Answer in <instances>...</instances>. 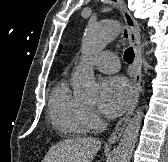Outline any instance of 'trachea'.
Returning <instances> with one entry per match:
<instances>
[{"instance_id": "trachea-1", "label": "trachea", "mask_w": 168, "mask_h": 162, "mask_svg": "<svg viewBox=\"0 0 168 162\" xmlns=\"http://www.w3.org/2000/svg\"><path fill=\"white\" fill-rule=\"evenodd\" d=\"M116 1V0H114ZM124 36L127 37V32L125 30V33H124ZM124 59L127 63L131 64L133 62V59H134V50L133 48H129L125 51V54H124Z\"/></svg>"}]
</instances>
